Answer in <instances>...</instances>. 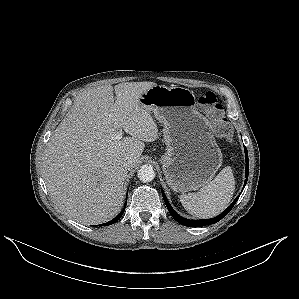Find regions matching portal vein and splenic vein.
Wrapping results in <instances>:
<instances>
[{
	"label": "portal vein and splenic vein",
	"instance_id": "1",
	"mask_svg": "<svg viewBox=\"0 0 299 299\" xmlns=\"http://www.w3.org/2000/svg\"><path fill=\"white\" fill-rule=\"evenodd\" d=\"M121 138H122V130L116 132V134H115V139L116 140H120Z\"/></svg>",
	"mask_w": 299,
	"mask_h": 299
}]
</instances>
